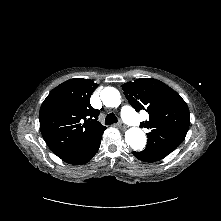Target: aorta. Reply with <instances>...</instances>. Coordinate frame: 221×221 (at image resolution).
Segmentation results:
<instances>
[{
  "instance_id": "1",
  "label": "aorta",
  "mask_w": 221,
  "mask_h": 221,
  "mask_svg": "<svg viewBox=\"0 0 221 221\" xmlns=\"http://www.w3.org/2000/svg\"><path fill=\"white\" fill-rule=\"evenodd\" d=\"M100 96L107 107H118L121 103L120 93L114 87H105ZM125 142L133 150H143L146 145V135L140 128L132 127L125 133Z\"/></svg>"
}]
</instances>
